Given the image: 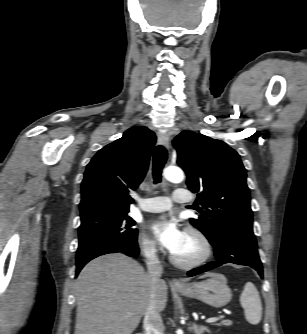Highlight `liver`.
I'll return each mask as SVG.
<instances>
[{
	"label": "liver",
	"instance_id": "obj_1",
	"mask_svg": "<svg viewBox=\"0 0 307 334\" xmlns=\"http://www.w3.org/2000/svg\"><path fill=\"white\" fill-rule=\"evenodd\" d=\"M207 273L202 277H209ZM153 282L134 259L113 253L87 263L76 281L75 334H132L145 315ZM167 285L156 284V306L163 311ZM132 313V316H128Z\"/></svg>",
	"mask_w": 307,
	"mask_h": 334
}]
</instances>
